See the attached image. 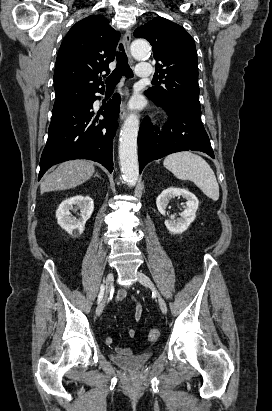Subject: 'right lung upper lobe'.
Masks as SVG:
<instances>
[{
    "label": "right lung upper lobe",
    "instance_id": "obj_1",
    "mask_svg": "<svg viewBox=\"0 0 272 411\" xmlns=\"http://www.w3.org/2000/svg\"><path fill=\"white\" fill-rule=\"evenodd\" d=\"M119 38L120 33L99 15L86 17L69 30L56 59L54 104L103 90L99 75L110 72L108 65L114 60Z\"/></svg>",
    "mask_w": 272,
    "mask_h": 411
}]
</instances>
